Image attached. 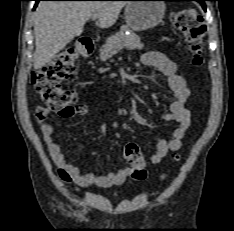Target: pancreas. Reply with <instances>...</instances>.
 Returning a JSON list of instances; mask_svg holds the SVG:
<instances>
[{
	"mask_svg": "<svg viewBox=\"0 0 234 231\" xmlns=\"http://www.w3.org/2000/svg\"><path fill=\"white\" fill-rule=\"evenodd\" d=\"M127 32L129 35L126 34ZM123 48L139 51L144 48L139 36L127 26H122L116 34L107 38L106 43L100 49V59L106 61Z\"/></svg>",
	"mask_w": 234,
	"mask_h": 231,
	"instance_id": "pancreas-1",
	"label": "pancreas"
}]
</instances>
